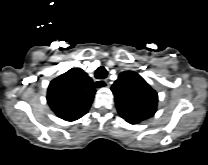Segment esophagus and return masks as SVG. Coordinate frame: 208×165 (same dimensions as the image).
<instances>
[{
	"label": "esophagus",
	"instance_id": "34e87169",
	"mask_svg": "<svg viewBox=\"0 0 208 165\" xmlns=\"http://www.w3.org/2000/svg\"><path fill=\"white\" fill-rule=\"evenodd\" d=\"M96 84L101 85V87H109V82L107 79L103 80V82L102 81H95V85Z\"/></svg>",
	"mask_w": 208,
	"mask_h": 165
}]
</instances>
